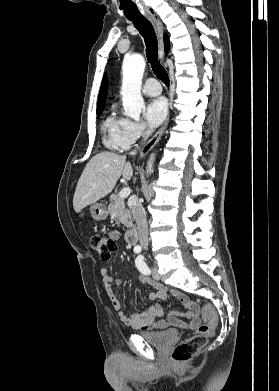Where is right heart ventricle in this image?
Masks as SVG:
<instances>
[{
    "mask_svg": "<svg viewBox=\"0 0 279 391\" xmlns=\"http://www.w3.org/2000/svg\"><path fill=\"white\" fill-rule=\"evenodd\" d=\"M125 124V119L119 117L115 111L112 109L110 113L106 116L103 125V140L104 144L112 150H120L129 148L126 145L123 127Z\"/></svg>",
    "mask_w": 279,
    "mask_h": 391,
    "instance_id": "right-heart-ventricle-1",
    "label": "right heart ventricle"
}]
</instances>
